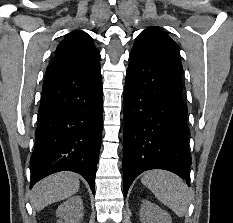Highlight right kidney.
I'll list each match as a JSON object with an SVG mask.
<instances>
[{"label":"right kidney","instance_id":"obj_1","mask_svg":"<svg viewBox=\"0 0 233 223\" xmlns=\"http://www.w3.org/2000/svg\"><path fill=\"white\" fill-rule=\"evenodd\" d=\"M83 201L81 195H73L63 203H60L56 209L57 223H81L83 219Z\"/></svg>","mask_w":233,"mask_h":223}]
</instances>
